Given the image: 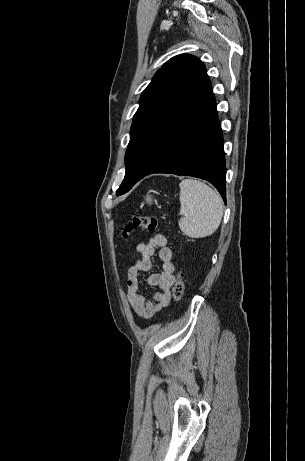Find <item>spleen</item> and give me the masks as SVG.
I'll list each match as a JSON object with an SVG mask.
<instances>
[{
  "label": "spleen",
  "mask_w": 305,
  "mask_h": 461,
  "mask_svg": "<svg viewBox=\"0 0 305 461\" xmlns=\"http://www.w3.org/2000/svg\"><path fill=\"white\" fill-rule=\"evenodd\" d=\"M180 230L191 238L212 235L223 217L220 195L205 183L185 179L180 182Z\"/></svg>",
  "instance_id": "3e777b00"
}]
</instances>
